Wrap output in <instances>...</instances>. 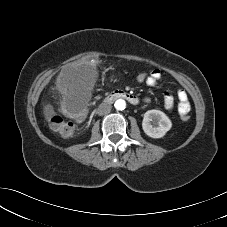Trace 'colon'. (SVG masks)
<instances>
[{"instance_id":"5ec220e1","label":"colon","mask_w":227,"mask_h":227,"mask_svg":"<svg viewBox=\"0 0 227 227\" xmlns=\"http://www.w3.org/2000/svg\"><path fill=\"white\" fill-rule=\"evenodd\" d=\"M149 79V74L140 72L135 75V80L138 83L146 84ZM63 113L65 118L55 112L52 106L48 105L45 108V116L51 126V128L58 134L68 137L73 135L75 131L74 124L71 120L82 121L85 117V109L76 103H69L63 107ZM183 121L189 120L188 113H181Z\"/></svg>"}]
</instances>
